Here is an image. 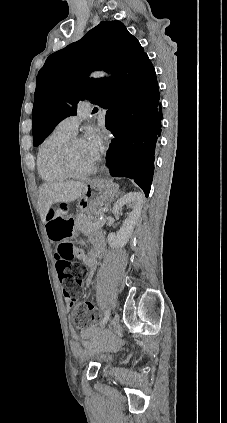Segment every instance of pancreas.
Returning <instances> with one entry per match:
<instances>
[{"mask_svg":"<svg viewBox=\"0 0 227 423\" xmlns=\"http://www.w3.org/2000/svg\"><path fill=\"white\" fill-rule=\"evenodd\" d=\"M101 211L103 208L99 206L97 211H94V215L91 213H78L75 219V229H80L82 233H89L92 229H99L105 223V219H100Z\"/></svg>","mask_w":227,"mask_h":423,"instance_id":"pancreas-1","label":"pancreas"}]
</instances>
